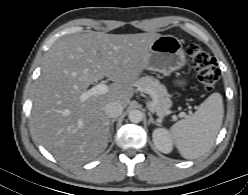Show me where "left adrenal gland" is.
<instances>
[{"instance_id": "1", "label": "left adrenal gland", "mask_w": 248, "mask_h": 195, "mask_svg": "<svg viewBox=\"0 0 248 195\" xmlns=\"http://www.w3.org/2000/svg\"><path fill=\"white\" fill-rule=\"evenodd\" d=\"M148 115H149L148 124L153 123V124H155V125H157V126H160V124L157 123V122L153 119V117H152V115H151L150 113H148Z\"/></svg>"}]
</instances>
